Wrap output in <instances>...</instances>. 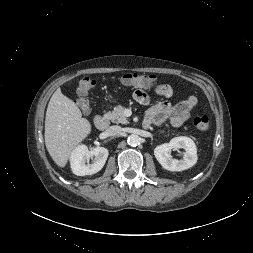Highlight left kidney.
<instances>
[{
  "label": "left kidney",
  "mask_w": 253,
  "mask_h": 253,
  "mask_svg": "<svg viewBox=\"0 0 253 253\" xmlns=\"http://www.w3.org/2000/svg\"><path fill=\"white\" fill-rule=\"evenodd\" d=\"M184 149V155L181 160L171 159L169 154L171 150ZM154 155L161 166L169 171H183L197 162V148L194 141L185 136L175 137L169 143H164L154 149Z\"/></svg>",
  "instance_id": "5707ae66"
}]
</instances>
